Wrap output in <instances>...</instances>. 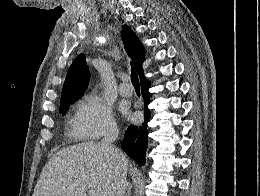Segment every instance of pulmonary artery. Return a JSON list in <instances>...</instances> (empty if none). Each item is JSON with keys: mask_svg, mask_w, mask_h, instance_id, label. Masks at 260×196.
I'll use <instances>...</instances> for the list:
<instances>
[{"mask_svg": "<svg viewBox=\"0 0 260 196\" xmlns=\"http://www.w3.org/2000/svg\"><path fill=\"white\" fill-rule=\"evenodd\" d=\"M119 92L124 97H129L133 94L132 85H121L119 87Z\"/></svg>", "mask_w": 260, "mask_h": 196, "instance_id": "e3ab8cb5", "label": "pulmonary artery"}]
</instances>
